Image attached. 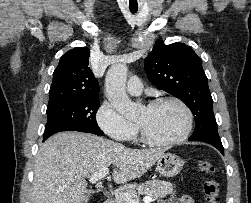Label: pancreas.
Wrapping results in <instances>:
<instances>
[{
  "label": "pancreas",
  "mask_w": 251,
  "mask_h": 203,
  "mask_svg": "<svg viewBox=\"0 0 251 203\" xmlns=\"http://www.w3.org/2000/svg\"><path fill=\"white\" fill-rule=\"evenodd\" d=\"M137 189L141 190L142 193L146 195L152 196L154 200L173 194V185L170 182L161 180H149L143 184H135L134 187L126 189L125 192L137 196ZM115 202L128 203L124 197L116 198Z\"/></svg>",
  "instance_id": "1"
}]
</instances>
